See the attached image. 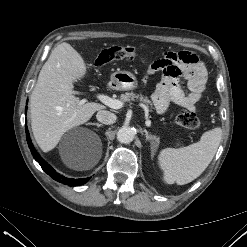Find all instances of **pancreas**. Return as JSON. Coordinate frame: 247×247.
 <instances>
[{
	"label": "pancreas",
	"mask_w": 247,
	"mask_h": 247,
	"mask_svg": "<svg viewBox=\"0 0 247 247\" xmlns=\"http://www.w3.org/2000/svg\"><path fill=\"white\" fill-rule=\"evenodd\" d=\"M121 100L124 102H131L137 100L140 101L146 109L149 108V105L152 107V103L147 97H144L142 94H135L134 92H126L125 94H122Z\"/></svg>",
	"instance_id": "pancreas-1"
}]
</instances>
